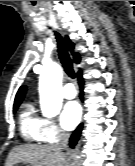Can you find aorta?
I'll list each match as a JSON object with an SVG mask.
<instances>
[{
  "instance_id": "762f6f07",
  "label": "aorta",
  "mask_w": 135,
  "mask_h": 166,
  "mask_svg": "<svg viewBox=\"0 0 135 166\" xmlns=\"http://www.w3.org/2000/svg\"><path fill=\"white\" fill-rule=\"evenodd\" d=\"M40 106L45 117H54L62 107V68L50 64L43 68L39 79Z\"/></svg>"
}]
</instances>
